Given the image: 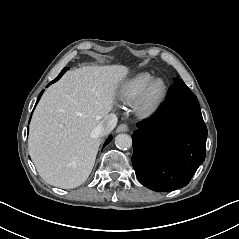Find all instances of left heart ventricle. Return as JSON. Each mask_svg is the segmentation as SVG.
Here are the masks:
<instances>
[{
    "label": "left heart ventricle",
    "instance_id": "1",
    "mask_svg": "<svg viewBox=\"0 0 239 239\" xmlns=\"http://www.w3.org/2000/svg\"><path fill=\"white\" fill-rule=\"evenodd\" d=\"M163 92V83L159 82L157 83L154 88L151 91L150 97H149V103L154 104L158 98L161 96Z\"/></svg>",
    "mask_w": 239,
    "mask_h": 239
}]
</instances>
